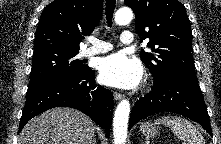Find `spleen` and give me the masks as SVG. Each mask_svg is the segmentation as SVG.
Returning a JSON list of instances; mask_svg holds the SVG:
<instances>
[{"label": "spleen", "instance_id": "1", "mask_svg": "<svg viewBox=\"0 0 221 144\" xmlns=\"http://www.w3.org/2000/svg\"><path fill=\"white\" fill-rule=\"evenodd\" d=\"M155 124L170 127L173 133L183 141V144H206L199 130L190 121L182 117L164 116L155 120Z\"/></svg>", "mask_w": 221, "mask_h": 144}]
</instances>
